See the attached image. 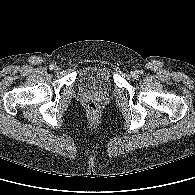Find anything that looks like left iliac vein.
Here are the masks:
<instances>
[{"instance_id":"1","label":"left iliac vein","mask_w":195,"mask_h":195,"mask_svg":"<svg viewBox=\"0 0 195 195\" xmlns=\"http://www.w3.org/2000/svg\"><path fill=\"white\" fill-rule=\"evenodd\" d=\"M136 75H137V74H136L135 71L131 72V76H132V77H136Z\"/></svg>"}]
</instances>
